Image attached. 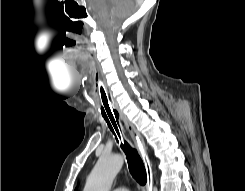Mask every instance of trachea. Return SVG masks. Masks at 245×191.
I'll use <instances>...</instances> for the list:
<instances>
[{"mask_svg": "<svg viewBox=\"0 0 245 191\" xmlns=\"http://www.w3.org/2000/svg\"><path fill=\"white\" fill-rule=\"evenodd\" d=\"M97 86L101 102L102 116L106 121L109 129L114 134L117 142H120V147L126 154L130 174L139 184L144 185L147 181V175L143 161L137 151L133 149L123 137V133L119 124L118 111L113 107L105 84L100 77L98 79Z\"/></svg>", "mask_w": 245, "mask_h": 191, "instance_id": "3493384b", "label": "trachea"}]
</instances>
